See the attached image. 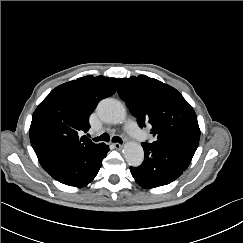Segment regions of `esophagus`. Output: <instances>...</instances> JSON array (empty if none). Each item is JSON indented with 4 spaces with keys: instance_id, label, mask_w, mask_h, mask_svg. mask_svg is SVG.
Wrapping results in <instances>:
<instances>
[{
    "instance_id": "34e87169",
    "label": "esophagus",
    "mask_w": 243,
    "mask_h": 243,
    "mask_svg": "<svg viewBox=\"0 0 243 243\" xmlns=\"http://www.w3.org/2000/svg\"><path fill=\"white\" fill-rule=\"evenodd\" d=\"M113 146L117 150H121L123 148V145L122 144H119V143H114Z\"/></svg>"
}]
</instances>
